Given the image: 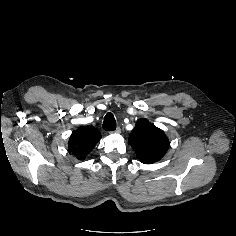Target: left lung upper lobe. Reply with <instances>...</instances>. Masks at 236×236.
Segmentation results:
<instances>
[{"mask_svg":"<svg viewBox=\"0 0 236 236\" xmlns=\"http://www.w3.org/2000/svg\"><path fill=\"white\" fill-rule=\"evenodd\" d=\"M129 144L144 164L159 161L169 148L164 132L146 119L137 121L129 137Z\"/></svg>","mask_w":236,"mask_h":236,"instance_id":"5c2ea615","label":"left lung upper lobe"}]
</instances>
